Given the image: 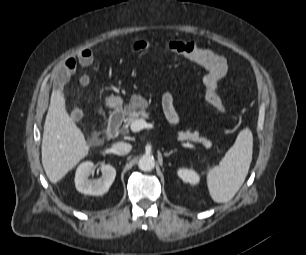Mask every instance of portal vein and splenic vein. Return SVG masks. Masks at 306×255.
Wrapping results in <instances>:
<instances>
[{"mask_svg": "<svg viewBox=\"0 0 306 255\" xmlns=\"http://www.w3.org/2000/svg\"><path fill=\"white\" fill-rule=\"evenodd\" d=\"M147 128H152V124L147 123L143 118L136 119L130 124V130L132 132H139ZM203 141L208 142L205 139H203ZM181 145L185 148H191V149L195 148V146L191 143H182Z\"/></svg>", "mask_w": 306, "mask_h": 255, "instance_id": "18ae733b", "label": "portal vein and splenic vein"}]
</instances>
